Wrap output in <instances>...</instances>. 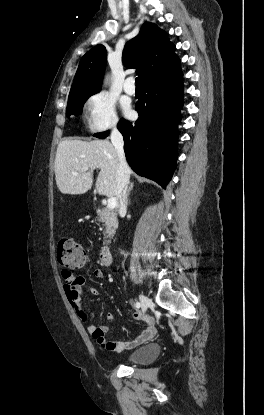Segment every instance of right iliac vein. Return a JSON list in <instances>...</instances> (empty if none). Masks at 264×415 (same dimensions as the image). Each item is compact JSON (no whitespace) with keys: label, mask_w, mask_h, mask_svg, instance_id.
Masks as SVG:
<instances>
[{"label":"right iliac vein","mask_w":264,"mask_h":415,"mask_svg":"<svg viewBox=\"0 0 264 415\" xmlns=\"http://www.w3.org/2000/svg\"><path fill=\"white\" fill-rule=\"evenodd\" d=\"M140 301H141V306H142V312L145 313L147 311V308H148L149 304H150V300L148 299V297L141 294L140 295Z\"/></svg>","instance_id":"63e3f726"}]
</instances>
